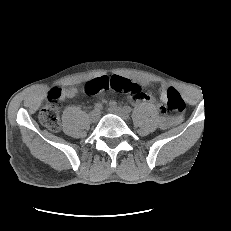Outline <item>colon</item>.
Here are the masks:
<instances>
[{"label": "colon", "instance_id": "5ec220e1", "mask_svg": "<svg viewBox=\"0 0 231 231\" xmlns=\"http://www.w3.org/2000/svg\"><path fill=\"white\" fill-rule=\"evenodd\" d=\"M85 90L89 94H97L105 90H113L120 93L134 95L139 92V86L126 78L113 76L94 79L85 85ZM61 90L53 88L48 94L46 104L40 110L39 119L43 126L51 131H59L60 116L58 102L60 100ZM185 110V102L180 93L175 88H168L165 93V105L161 107V113L171 111L177 116Z\"/></svg>", "mask_w": 231, "mask_h": 231}]
</instances>
